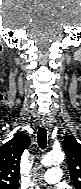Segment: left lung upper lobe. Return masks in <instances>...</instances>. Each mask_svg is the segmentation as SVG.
<instances>
[{"mask_svg": "<svg viewBox=\"0 0 81 189\" xmlns=\"http://www.w3.org/2000/svg\"><path fill=\"white\" fill-rule=\"evenodd\" d=\"M63 149L68 161L72 184L75 189H81V144L75 137L67 136L63 141Z\"/></svg>", "mask_w": 81, "mask_h": 189, "instance_id": "obj_1", "label": "left lung upper lobe"}]
</instances>
